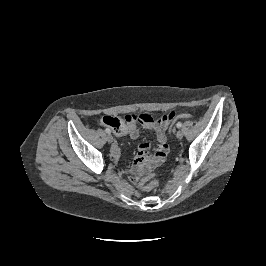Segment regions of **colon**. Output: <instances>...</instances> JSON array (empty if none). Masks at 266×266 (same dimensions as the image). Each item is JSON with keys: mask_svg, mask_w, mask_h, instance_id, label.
I'll return each mask as SVG.
<instances>
[{"mask_svg": "<svg viewBox=\"0 0 266 266\" xmlns=\"http://www.w3.org/2000/svg\"><path fill=\"white\" fill-rule=\"evenodd\" d=\"M191 118V114L189 113H181L177 115V119H189ZM158 181L155 179L153 174H148L144 176L140 181V187L145 191H151L158 187Z\"/></svg>", "mask_w": 266, "mask_h": 266, "instance_id": "colon-1", "label": "colon"}]
</instances>
